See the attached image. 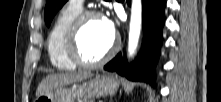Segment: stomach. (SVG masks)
Masks as SVG:
<instances>
[{
  "mask_svg": "<svg viewBox=\"0 0 221 102\" xmlns=\"http://www.w3.org/2000/svg\"><path fill=\"white\" fill-rule=\"evenodd\" d=\"M119 87L118 80L110 75H100L80 85L60 87L36 98L34 102H85L89 99L113 95Z\"/></svg>",
  "mask_w": 221,
  "mask_h": 102,
  "instance_id": "1",
  "label": "stomach"
}]
</instances>
